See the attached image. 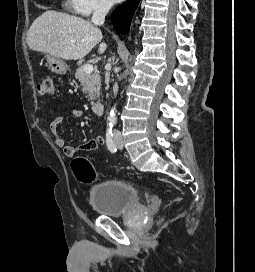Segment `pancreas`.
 <instances>
[{
	"label": "pancreas",
	"instance_id": "obj_1",
	"mask_svg": "<svg viewBox=\"0 0 255 272\" xmlns=\"http://www.w3.org/2000/svg\"><path fill=\"white\" fill-rule=\"evenodd\" d=\"M75 78L80 82L82 92L89 100H96L100 96L101 79L98 71L86 73L84 65H81L75 72Z\"/></svg>",
	"mask_w": 255,
	"mask_h": 272
}]
</instances>
